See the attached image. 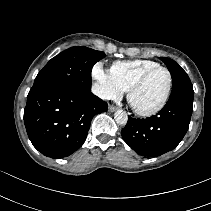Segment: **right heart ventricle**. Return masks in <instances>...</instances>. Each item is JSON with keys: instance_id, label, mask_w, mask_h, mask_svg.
I'll list each match as a JSON object with an SVG mask.
<instances>
[{"instance_id": "e07e8e85", "label": "right heart ventricle", "mask_w": 211, "mask_h": 211, "mask_svg": "<svg viewBox=\"0 0 211 211\" xmlns=\"http://www.w3.org/2000/svg\"><path fill=\"white\" fill-rule=\"evenodd\" d=\"M156 66H159L157 62L146 59L116 61L112 64L110 72L119 87L128 91L141 74Z\"/></svg>"}]
</instances>
